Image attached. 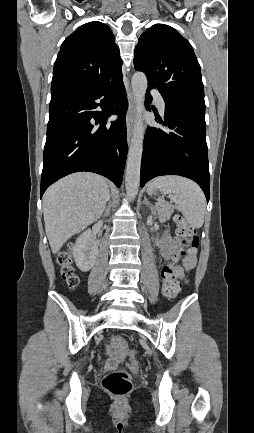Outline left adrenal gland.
<instances>
[{
    "instance_id": "obj_1",
    "label": "left adrenal gland",
    "mask_w": 254,
    "mask_h": 433,
    "mask_svg": "<svg viewBox=\"0 0 254 433\" xmlns=\"http://www.w3.org/2000/svg\"><path fill=\"white\" fill-rule=\"evenodd\" d=\"M143 203L146 204V205H148V206L150 207V209H151V212L154 213V207H153V205L148 201V199L146 198V196H144V201H143Z\"/></svg>"
}]
</instances>
